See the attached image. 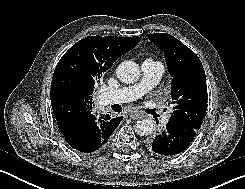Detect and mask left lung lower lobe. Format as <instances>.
<instances>
[{"label":"left lung lower lobe","instance_id":"left-lung-lower-lobe-1","mask_svg":"<svg viewBox=\"0 0 245 189\" xmlns=\"http://www.w3.org/2000/svg\"><path fill=\"white\" fill-rule=\"evenodd\" d=\"M194 136V129H183L176 124L168 122L166 128L156 135L149 145L155 153L172 156L184 151L193 141Z\"/></svg>","mask_w":245,"mask_h":189}]
</instances>
